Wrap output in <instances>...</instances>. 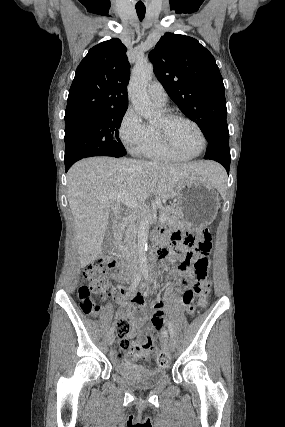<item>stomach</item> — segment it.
<instances>
[{"label": "stomach", "instance_id": "stomach-1", "mask_svg": "<svg viewBox=\"0 0 285 427\" xmlns=\"http://www.w3.org/2000/svg\"><path fill=\"white\" fill-rule=\"evenodd\" d=\"M177 215L189 229L209 225L215 219L219 206V195L215 187L200 180H188L176 190Z\"/></svg>", "mask_w": 285, "mask_h": 427}]
</instances>
